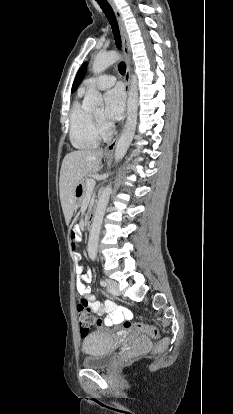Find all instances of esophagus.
Wrapping results in <instances>:
<instances>
[{
	"mask_svg": "<svg viewBox=\"0 0 233 414\" xmlns=\"http://www.w3.org/2000/svg\"><path fill=\"white\" fill-rule=\"evenodd\" d=\"M109 3L115 13L116 19L118 21V25L120 28V33H121V37H122V45H123V51L124 54L126 56V60H127V65H126V73H125V90L128 94L129 92V85H130V60H131V47H130V43H129V39H128V34L126 31V27L122 18V15L120 13V11L117 9L116 5L114 4V2L112 0H109ZM118 141V136L113 139L112 142H110L107 147L104 150V154L105 155H112L115 149V146L117 144Z\"/></svg>",
	"mask_w": 233,
	"mask_h": 414,
	"instance_id": "obj_1",
	"label": "esophagus"
}]
</instances>
